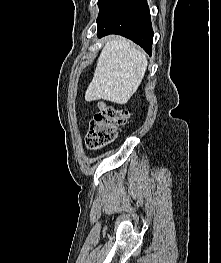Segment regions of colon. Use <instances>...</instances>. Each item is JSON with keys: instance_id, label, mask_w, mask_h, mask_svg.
I'll return each instance as SVG.
<instances>
[{"instance_id": "5ec220e1", "label": "colon", "mask_w": 221, "mask_h": 263, "mask_svg": "<svg viewBox=\"0 0 221 263\" xmlns=\"http://www.w3.org/2000/svg\"><path fill=\"white\" fill-rule=\"evenodd\" d=\"M128 118V111L100 103L99 111L89 124L87 147L98 150L113 142L118 129L126 124Z\"/></svg>"}]
</instances>
